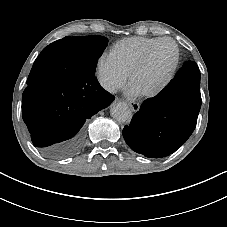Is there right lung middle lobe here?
I'll use <instances>...</instances> for the list:
<instances>
[{"mask_svg": "<svg viewBox=\"0 0 227 227\" xmlns=\"http://www.w3.org/2000/svg\"><path fill=\"white\" fill-rule=\"evenodd\" d=\"M108 40L103 36H73L54 42L62 44L57 55L59 72L73 76L93 79L98 59L107 46ZM45 72L33 66L27 79V85L44 79Z\"/></svg>", "mask_w": 227, "mask_h": 227, "instance_id": "1", "label": "right lung middle lobe"}]
</instances>
